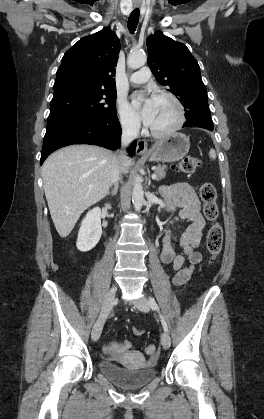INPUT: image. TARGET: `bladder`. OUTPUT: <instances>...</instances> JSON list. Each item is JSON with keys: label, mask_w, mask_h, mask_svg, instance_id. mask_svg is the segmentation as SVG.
I'll return each mask as SVG.
<instances>
[{"label": "bladder", "mask_w": 264, "mask_h": 419, "mask_svg": "<svg viewBox=\"0 0 264 419\" xmlns=\"http://www.w3.org/2000/svg\"><path fill=\"white\" fill-rule=\"evenodd\" d=\"M98 367L100 372L114 384L129 390L147 385L156 376L155 368L147 364L138 368H128L108 360H101Z\"/></svg>", "instance_id": "1"}]
</instances>
